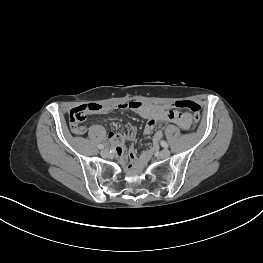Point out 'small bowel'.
I'll return each instance as SVG.
<instances>
[{
	"mask_svg": "<svg viewBox=\"0 0 263 263\" xmlns=\"http://www.w3.org/2000/svg\"><path fill=\"white\" fill-rule=\"evenodd\" d=\"M102 106L99 111L91 113H107L113 109L119 110H131L144 119L147 120L145 125V134L149 135L153 132L156 124L159 121H168L176 124L182 129H188L191 125V119L187 114L179 113L175 111L168 110L165 107H158L153 104L144 103L140 101H130L126 103H121L113 107ZM136 137V128L133 127L128 135L121 133H109L108 143L112 145L115 149L116 154L123 160L125 159V144L128 142H134ZM162 137L160 131L155 133L154 140L159 141ZM133 155V153L131 154ZM149 159V153H144L140 158V165L144 166Z\"/></svg>",
	"mask_w": 263,
	"mask_h": 263,
	"instance_id": "1",
	"label": "small bowel"
}]
</instances>
